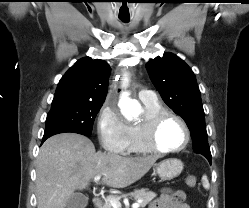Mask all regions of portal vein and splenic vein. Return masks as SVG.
Wrapping results in <instances>:
<instances>
[{"mask_svg": "<svg viewBox=\"0 0 249 208\" xmlns=\"http://www.w3.org/2000/svg\"><path fill=\"white\" fill-rule=\"evenodd\" d=\"M101 176H96L94 177V181L98 182L100 180ZM108 202L112 205L113 208H121V203L119 202L118 199L114 198V197H108ZM140 201H138L137 203L132 204V208H139L140 206Z\"/></svg>", "mask_w": 249, "mask_h": 208, "instance_id": "obj_1", "label": "portal vein and splenic vein"}]
</instances>
